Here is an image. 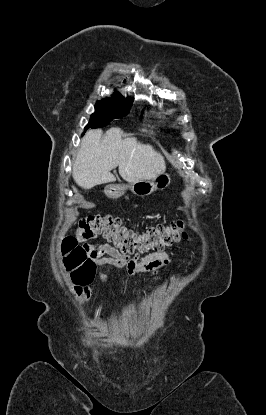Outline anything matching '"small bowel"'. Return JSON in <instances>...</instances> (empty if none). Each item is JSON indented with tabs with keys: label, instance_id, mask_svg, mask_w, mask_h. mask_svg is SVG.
Instances as JSON below:
<instances>
[{
	"label": "small bowel",
	"instance_id": "c3829d8e",
	"mask_svg": "<svg viewBox=\"0 0 266 415\" xmlns=\"http://www.w3.org/2000/svg\"><path fill=\"white\" fill-rule=\"evenodd\" d=\"M88 247L94 256L96 264L125 267L130 276L140 273H152L156 277L160 270L171 261L169 254L164 250L154 251L146 256H142L141 253L129 256L107 243L88 245ZM97 275L102 280L106 281L109 279L108 276L100 272H97ZM79 294L83 301H91L92 290L89 285L83 286L79 290Z\"/></svg>",
	"mask_w": 266,
	"mask_h": 415
}]
</instances>
